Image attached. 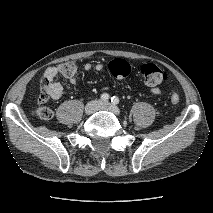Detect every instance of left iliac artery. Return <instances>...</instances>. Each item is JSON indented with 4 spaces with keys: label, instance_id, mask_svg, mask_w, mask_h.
<instances>
[{
    "label": "left iliac artery",
    "instance_id": "1",
    "mask_svg": "<svg viewBox=\"0 0 213 213\" xmlns=\"http://www.w3.org/2000/svg\"><path fill=\"white\" fill-rule=\"evenodd\" d=\"M111 102H112L113 104H118V103H119V98L116 97V96H113V97L111 98Z\"/></svg>",
    "mask_w": 213,
    "mask_h": 213
}]
</instances>
